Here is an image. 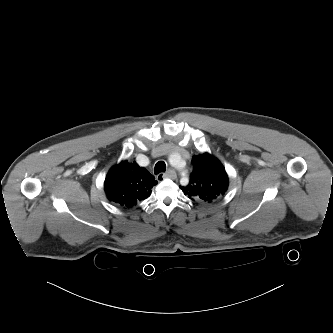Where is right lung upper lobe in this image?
Returning a JSON list of instances; mask_svg holds the SVG:
<instances>
[{"mask_svg":"<svg viewBox=\"0 0 333 333\" xmlns=\"http://www.w3.org/2000/svg\"><path fill=\"white\" fill-rule=\"evenodd\" d=\"M157 184L155 177L136 162L122 161L113 166L105 179L107 198L124 208H132L139 201L148 198Z\"/></svg>","mask_w":333,"mask_h":333,"instance_id":"right-lung-upper-lobe-1","label":"right lung upper lobe"}]
</instances>
